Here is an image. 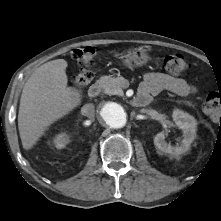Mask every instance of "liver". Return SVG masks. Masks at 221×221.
<instances>
[{
  "mask_svg": "<svg viewBox=\"0 0 221 221\" xmlns=\"http://www.w3.org/2000/svg\"><path fill=\"white\" fill-rule=\"evenodd\" d=\"M64 59L49 61L38 67L25 83L18 113V129L25 150L31 149L45 130L73 111L82 95L68 87Z\"/></svg>",
  "mask_w": 221,
  "mask_h": 221,
  "instance_id": "liver-1",
  "label": "liver"
}]
</instances>
